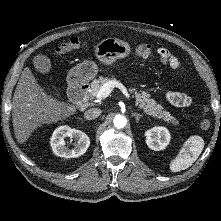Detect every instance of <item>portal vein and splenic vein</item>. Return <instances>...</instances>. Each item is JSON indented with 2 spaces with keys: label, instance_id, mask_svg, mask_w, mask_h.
<instances>
[{
  "label": "portal vein and splenic vein",
  "instance_id": "18ae733b",
  "mask_svg": "<svg viewBox=\"0 0 221 221\" xmlns=\"http://www.w3.org/2000/svg\"><path fill=\"white\" fill-rule=\"evenodd\" d=\"M120 89V91L125 95L127 99H130L129 93L126 89V87L116 80H109L105 84H103L100 88V90L96 94L97 99H105L109 96V94L112 92L114 88Z\"/></svg>",
  "mask_w": 221,
  "mask_h": 221
}]
</instances>
